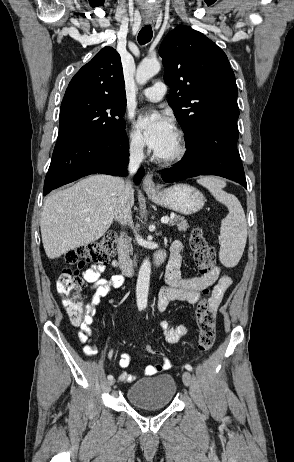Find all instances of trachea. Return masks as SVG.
I'll return each instance as SVG.
<instances>
[{
  "instance_id": "1",
  "label": "trachea",
  "mask_w": 294,
  "mask_h": 462,
  "mask_svg": "<svg viewBox=\"0 0 294 462\" xmlns=\"http://www.w3.org/2000/svg\"><path fill=\"white\" fill-rule=\"evenodd\" d=\"M152 36H153V32H152L151 26L146 25L145 27L141 29V31L138 34V42L141 45H144L152 39Z\"/></svg>"
}]
</instances>
